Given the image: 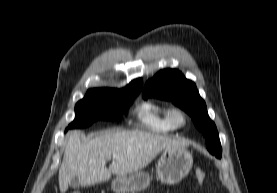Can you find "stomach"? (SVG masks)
<instances>
[{"label":"stomach","instance_id":"stomach-1","mask_svg":"<svg viewBox=\"0 0 277 193\" xmlns=\"http://www.w3.org/2000/svg\"><path fill=\"white\" fill-rule=\"evenodd\" d=\"M192 165V155L186 148L165 149L156 166L157 178L163 184H176L189 173ZM149 184V174L138 171L126 176H116L112 181V189L115 193H135L146 189Z\"/></svg>","mask_w":277,"mask_h":193}]
</instances>
